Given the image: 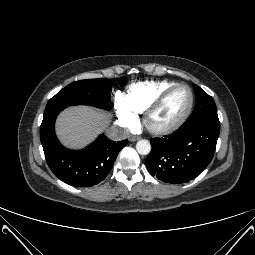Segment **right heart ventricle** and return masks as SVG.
Wrapping results in <instances>:
<instances>
[{"label":"right heart ventricle","instance_id":"e07e8e85","mask_svg":"<svg viewBox=\"0 0 255 255\" xmlns=\"http://www.w3.org/2000/svg\"><path fill=\"white\" fill-rule=\"evenodd\" d=\"M176 85L171 81H150L132 84L123 100L136 113L141 114L166 89Z\"/></svg>","mask_w":255,"mask_h":255}]
</instances>
